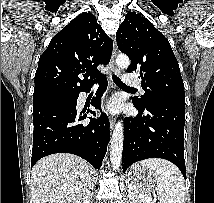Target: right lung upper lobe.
I'll return each instance as SVG.
<instances>
[{"label": "right lung upper lobe", "mask_w": 214, "mask_h": 203, "mask_svg": "<svg viewBox=\"0 0 214 203\" xmlns=\"http://www.w3.org/2000/svg\"><path fill=\"white\" fill-rule=\"evenodd\" d=\"M112 49L113 42L96 17L80 14L51 39L40 56L33 99L90 87L101 76L97 66L108 64Z\"/></svg>", "instance_id": "right-lung-upper-lobe-1"}]
</instances>
